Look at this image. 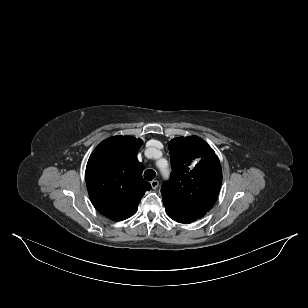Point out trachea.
I'll return each instance as SVG.
<instances>
[{"instance_id":"trachea-1","label":"trachea","mask_w":308,"mask_h":308,"mask_svg":"<svg viewBox=\"0 0 308 308\" xmlns=\"http://www.w3.org/2000/svg\"><path fill=\"white\" fill-rule=\"evenodd\" d=\"M155 176H156V173H155V171L152 170V169H148V170H146V171L144 172V178H145L146 180H148V181L153 180V179L155 178Z\"/></svg>"}]
</instances>
